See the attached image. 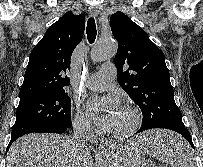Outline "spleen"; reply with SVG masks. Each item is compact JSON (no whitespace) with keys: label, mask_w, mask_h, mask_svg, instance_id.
I'll return each instance as SVG.
<instances>
[{"label":"spleen","mask_w":203,"mask_h":167,"mask_svg":"<svg viewBox=\"0 0 203 167\" xmlns=\"http://www.w3.org/2000/svg\"><path fill=\"white\" fill-rule=\"evenodd\" d=\"M172 167H195L192 152L182 137L166 131L151 133L141 150Z\"/></svg>","instance_id":"spleen-1"}]
</instances>
